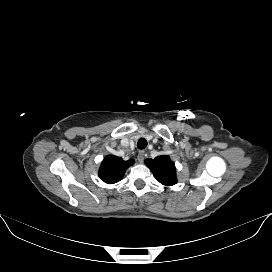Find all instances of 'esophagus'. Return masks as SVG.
Masks as SVG:
<instances>
[{
  "label": "esophagus",
  "mask_w": 272,
  "mask_h": 272,
  "mask_svg": "<svg viewBox=\"0 0 272 272\" xmlns=\"http://www.w3.org/2000/svg\"><path fill=\"white\" fill-rule=\"evenodd\" d=\"M144 157H145V152L144 151H139L137 159L139 163H142L144 161Z\"/></svg>",
  "instance_id": "esophagus-1"
}]
</instances>
